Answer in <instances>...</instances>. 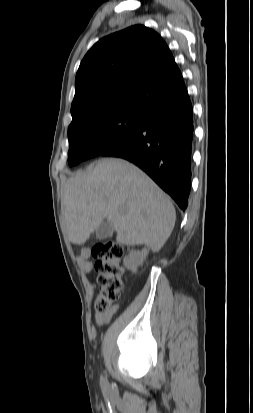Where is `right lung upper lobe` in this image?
Masks as SVG:
<instances>
[{"mask_svg":"<svg viewBox=\"0 0 253 413\" xmlns=\"http://www.w3.org/2000/svg\"><path fill=\"white\" fill-rule=\"evenodd\" d=\"M188 95L165 41L135 25L99 40L85 55L75 79L72 120L110 107L148 111Z\"/></svg>","mask_w":253,"mask_h":413,"instance_id":"cb5924a9","label":"right lung upper lobe"}]
</instances>
